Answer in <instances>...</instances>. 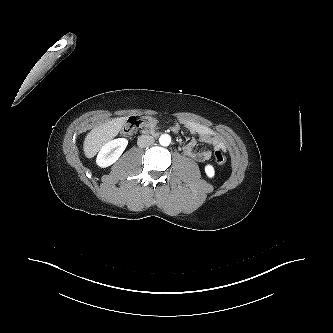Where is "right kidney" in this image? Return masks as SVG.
<instances>
[{
    "mask_svg": "<svg viewBox=\"0 0 333 333\" xmlns=\"http://www.w3.org/2000/svg\"><path fill=\"white\" fill-rule=\"evenodd\" d=\"M127 144L128 140L125 138L109 141L100 149L96 158V164L101 168L112 165L119 159Z\"/></svg>",
    "mask_w": 333,
    "mask_h": 333,
    "instance_id": "1",
    "label": "right kidney"
}]
</instances>
